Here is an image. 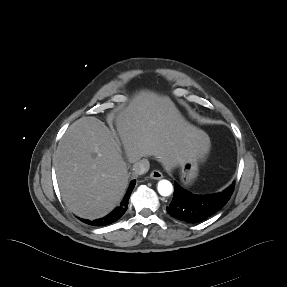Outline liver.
<instances>
[{"label":"liver","mask_w":287,"mask_h":287,"mask_svg":"<svg viewBox=\"0 0 287 287\" xmlns=\"http://www.w3.org/2000/svg\"><path fill=\"white\" fill-rule=\"evenodd\" d=\"M118 136L95 117L69 126L54 157L59 189L66 206L85 219L107 215L128 185V165L154 156L168 170L192 153L204 158L210 138L189 124L168 97L142 91L115 117Z\"/></svg>","instance_id":"6515ba94"}]
</instances>
